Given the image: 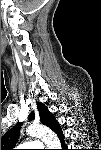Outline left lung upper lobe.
I'll return each mask as SVG.
<instances>
[{
  "label": "left lung upper lobe",
  "instance_id": "left-lung-upper-lobe-1",
  "mask_svg": "<svg viewBox=\"0 0 101 150\" xmlns=\"http://www.w3.org/2000/svg\"><path fill=\"white\" fill-rule=\"evenodd\" d=\"M37 109L39 111L40 122L43 125L48 126L52 131H54L58 135L59 131H61L60 127L58 123L55 121L52 114L48 111L47 107L42 103H38ZM33 118H34V113H31L29 120ZM21 124L22 123H18L14 128L7 131L5 135L1 138L2 150H12V148L17 142L19 136V128Z\"/></svg>",
  "mask_w": 101,
  "mask_h": 150
}]
</instances>
